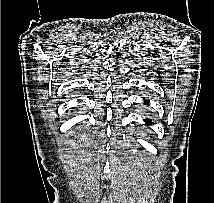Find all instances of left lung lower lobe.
<instances>
[{
	"label": "left lung lower lobe",
	"instance_id": "1",
	"mask_svg": "<svg viewBox=\"0 0 214 203\" xmlns=\"http://www.w3.org/2000/svg\"><path fill=\"white\" fill-rule=\"evenodd\" d=\"M144 103H146L147 105H149V101H147V100L144 101ZM144 121L146 122L147 125H149V124L151 123V120H150V119H148V120H147V119H144Z\"/></svg>",
	"mask_w": 214,
	"mask_h": 203
}]
</instances>
